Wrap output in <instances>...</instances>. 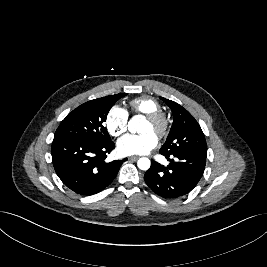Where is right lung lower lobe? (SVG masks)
Returning a JSON list of instances; mask_svg holds the SVG:
<instances>
[{
  "label": "right lung lower lobe",
  "instance_id": "obj_1",
  "mask_svg": "<svg viewBox=\"0 0 267 267\" xmlns=\"http://www.w3.org/2000/svg\"><path fill=\"white\" fill-rule=\"evenodd\" d=\"M115 148L113 141L86 142L54 139L51 154L54 169L63 184L73 192L89 196L105 189L126 160L105 162Z\"/></svg>",
  "mask_w": 267,
  "mask_h": 267
}]
</instances>
